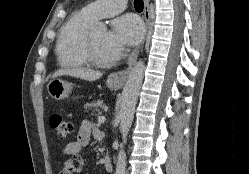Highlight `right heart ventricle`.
Masks as SVG:
<instances>
[{
	"label": "right heart ventricle",
	"mask_w": 249,
	"mask_h": 174,
	"mask_svg": "<svg viewBox=\"0 0 249 174\" xmlns=\"http://www.w3.org/2000/svg\"><path fill=\"white\" fill-rule=\"evenodd\" d=\"M94 20L82 10L73 14L62 27L56 46L58 61L62 66L74 68L87 64L83 47Z\"/></svg>",
	"instance_id": "right-heart-ventricle-1"
}]
</instances>
